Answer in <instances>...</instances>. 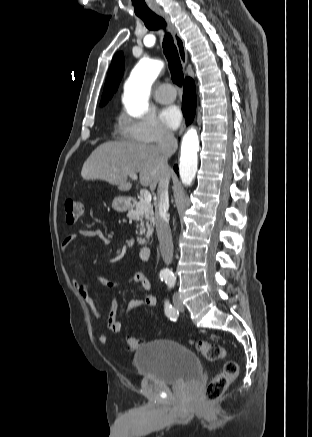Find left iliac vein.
Segmentation results:
<instances>
[{
	"label": "left iliac vein",
	"instance_id": "4c4485c4",
	"mask_svg": "<svg viewBox=\"0 0 312 437\" xmlns=\"http://www.w3.org/2000/svg\"><path fill=\"white\" fill-rule=\"evenodd\" d=\"M173 303H174L175 308L178 311H183L184 310L183 304L181 303V301L179 299L178 293H174V295H173Z\"/></svg>",
	"mask_w": 312,
	"mask_h": 437
}]
</instances>
